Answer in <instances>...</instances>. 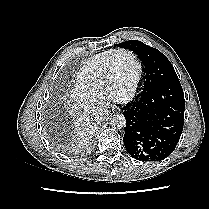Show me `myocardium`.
I'll return each instance as SVG.
<instances>
[{"mask_svg": "<svg viewBox=\"0 0 209 209\" xmlns=\"http://www.w3.org/2000/svg\"><path fill=\"white\" fill-rule=\"evenodd\" d=\"M121 54L129 55L133 59L135 65H136V79H135L134 85H133L130 93L127 96H125L123 98L113 99V98H110L108 95L109 84H110L111 73H112V69H113L114 58L118 55H121ZM141 81H142V66H141V63H140L138 57L136 56V54L133 51L128 50V49H115L113 51L112 56L110 57V59L107 63L105 71H104L103 82H102L103 95L115 102H118V103L130 102L137 95V92H138L139 87L141 85Z\"/></svg>", "mask_w": 209, "mask_h": 209, "instance_id": "1", "label": "myocardium"}]
</instances>
